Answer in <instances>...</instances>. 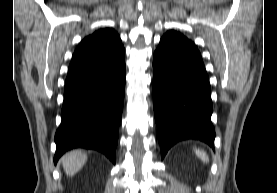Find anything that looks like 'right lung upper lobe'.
Masks as SVG:
<instances>
[{"label":"right lung upper lobe","instance_id":"obj_1","mask_svg":"<svg viewBox=\"0 0 277 193\" xmlns=\"http://www.w3.org/2000/svg\"><path fill=\"white\" fill-rule=\"evenodd\" d=\"M124 49L119 35L110 28L94 32L84 38L76 48L68 71L96 66Z\"/></svg>","mask_w":277,"mask_h":193}]
</instances>
